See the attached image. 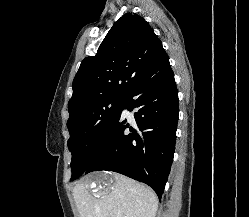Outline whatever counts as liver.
<instances>
[{"instance_id": "liver-1", "label": "liver", "mask_w": 249, "mask_h": 217, "mask_svg": "<svg viewBox=\"0 0 249 217\" xmlns=\"http://www.w3.org/2000/svg\"><path fill=\"white\" fill-rule=\"evenodd\" d=\"M94 184L96 192L89 188ZM80 217H155L156 194L147 186L118 173L88 176L73 189Z\"/></svg>"}]
</instances>
